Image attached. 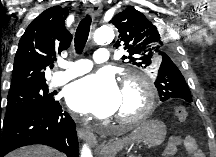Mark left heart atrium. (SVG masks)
Instances as JSON below:
<instances>
[{"label":"left heart atrium","mask_w":216,"mask_h":157,"mask_svg":"<svg viewBox=\"0 0 216 157\" xmlns=\"http://www.w3.org/2000/svg\"><path fill=\"white\" fill-rule=\"evenodd\" d=\"M122 92L115 76L101 71L73 82L66 92V103L75 112L105 118L116 113Z\"/></svg>","instance_id":"1"}]
</instances>
